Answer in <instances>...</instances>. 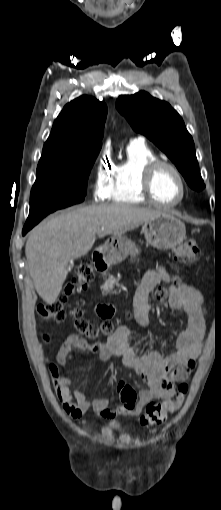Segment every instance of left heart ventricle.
<instances>
[{"mask_svg": "<svg viewBox=\"0 0 221 510\" xmlns=\"http://www.w3.org/2000/svg\"><path fill=\"white\" fill-rule=\"evenodd\" d=\"M155 197L165 203L177 201L181 196V185L176 175L168 168H161L153 179Z\"/></svg>", "mask_w": 221, "mask_h": 510, "instance_id": "1", "label": "left heart ventricle"}]
</instances>
